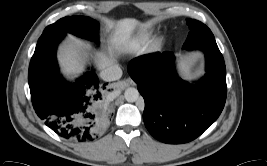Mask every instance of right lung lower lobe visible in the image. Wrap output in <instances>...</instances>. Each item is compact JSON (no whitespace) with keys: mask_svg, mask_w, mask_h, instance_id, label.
Segmentation results:
<instances>
[{"mask_svg":"<svg viewBox=\"0 0 267 166\" xmlns=\"http://www.w3.org/2000/svg\"><path fill=\"white\" fill-rule=\"evenodd\" d=\"M62 32H43L29 65L31 100L37 115L59 136L74 142L92 141L110 120L107 95L94 71L76 82L59 73L56 48Z\"/></svg>","mask_w":267,"mask_h":166,"instance_id":"right-lung-lower-lobe-1","label":"right lung lower lobe"}]
</instances>
